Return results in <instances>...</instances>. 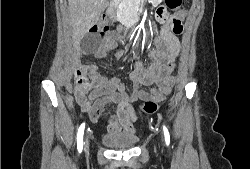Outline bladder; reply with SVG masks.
<instances>
[{
    "mask_svg": "<svg viewBox=\"0 0 250 169\" xmlns=\"http://www.w3.org/2000/svg\"><path fill=\"white\" fill-rule=\"evenodd\" d=\"M101 141L105 144L106 148L112 151H129L132 150L139 142L136 135L121 136L112 134H103Z\"/></svg>",
    "mask_w": 250,
    "mask_h": 169,
    "instance_id": "1",
    "label": "bladder"
}]
</instances>
